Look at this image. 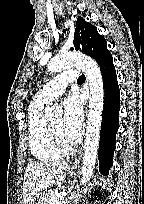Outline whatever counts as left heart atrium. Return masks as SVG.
Returning a JSON list of instances; mask_svg holds the SVG:
<instances>
[{"label":"left heart atrium","mask_w":144,"mask_h":204,"mask_svg":"<svg viewBox=\"0 0 144 204\" xmlns=\"http://www.w3.org/2000/svg\"><path fill=\"white\" fill-rule=\"evenodd\" d=\"M63 130L70 140L80 136L83 127V107L79 98L75 95L69 96L63 102Z\"/></svg>","instance_id":"39dd6f15"}]
</instances>
